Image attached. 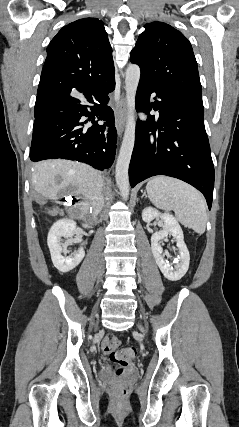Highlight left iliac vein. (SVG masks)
Segmentation results:
<instances>
[{
	"label": "left iliac vein",
	"mask_w": 239,
	"mask_h": 427,
	"mask_svg": "<svg viewBox=\"0 0 239 427\" xmlns=\"http://www.w3.org/2000/svg\"><path fill=\"white\" fill-rule=\"evenodd\" d=\"M140 329L143 331V328L140 326Z\"/></svg>",
	"instance_id": "4c4485c4"
}]
</instances>
